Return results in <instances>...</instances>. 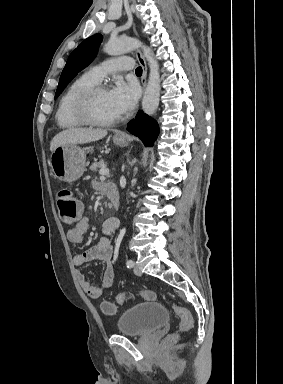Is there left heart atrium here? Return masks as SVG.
<instances>
[{
	"label": "left heart atrium",
	"mask_w": 283,
	"mask_h": 384,
	"mask_svg": "<svg viewBox=\"0 0 283 384\" xmlns=\"http://www.w3.org/2000/svg\"><path fill=\"white\" fill-rule=\"evenodd\" d=\"M108 94L115 111L120 116L129 113L133 109L138 91L135 85H127L122 81H118L108 90Z\"/></svg>",
	"instance_id": "39dd6f15"
}]
</instances>
